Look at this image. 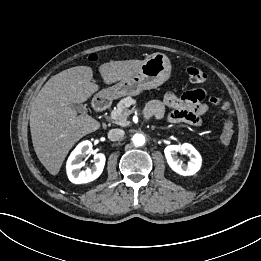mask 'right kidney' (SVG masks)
Here are the masks:
<instances>
[{
  "label": "right kidney",
  "instance_id": "ca27d5eb",
  "mask_svg": "<svg viewBox=\"0 0 261 261\" xmlns=\"http://www.w3.org/2000/svg\"><path fill=\"white\" fill-rule=\"evenodd\" d=\"M92 149V143L88 140L79 143L76 148L70 154L67 163L66 171L69 180L75 184H84L97 179L105 165V155L103 153L96 154L94 156V166L90 169L87 168L85 171H81L83 166V157L88 154Z\"/></svg>",
  "mask_w": 261,
  "mask_h": 261
}]
</instances>
